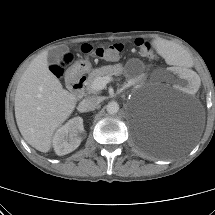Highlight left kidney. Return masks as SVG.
<instances>
[{
    "mask_svg": "<svg viewBox=\"0 0 215 215\" xmlns=\"http://www.w3.org/2000/svg\"><path fill=\"white\" fill-rule=\"evenodd\" d=\"M168 79L179 89L194 92L199 86V77L192 71L172 67L168 71Z\"/></svg>",
    "mask_w": 215,
    "mask_h": 215,
    "instance_id": "obj_1",
    "label": "left kidney"
}]
</instances>
